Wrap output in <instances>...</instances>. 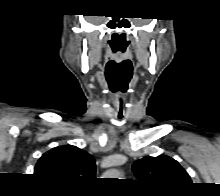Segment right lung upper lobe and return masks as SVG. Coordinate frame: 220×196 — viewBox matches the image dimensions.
Returning a JSON list of instances; mask_svg holds the SVG:
<instances>
[{
  "label": "right lung upper lobe",
  "instance_id": "right-lung-upper-lobe-1",
  "mask_svg": "<svg viewBox=\"0 0 220 196\" xmlns=\"http://www.w3.org/2000/svg\"><path fill=\"white\" fill-rule=\"evenodd\" d=\"M94 158L84 150L72 146H58L43 154L34 174L62 184H82L94 179Z\"/></svg>",
  "mask_w": 220,
  "mask_h": 196
}]
</instances>
